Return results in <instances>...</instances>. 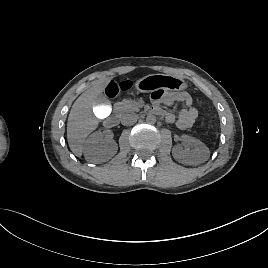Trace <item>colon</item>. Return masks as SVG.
<instances>
[{"label": "colon", "mask_w": 268, "mask_h": 268, "mask_svg": "<svg viewBox=\"0 0 268 268\" xmlns=\"http://www.w3.org/2000/svg\"><path fill=\"white\" fill-rule=\"evenodd\" d=\"M131 83L128 81L116 83V82H110L106 88H105V94L108 97H114L118 94L120 90H126L130 88Z\"/></svg>", "instance_id": "obj_1"}]
</instances>
